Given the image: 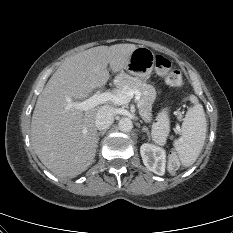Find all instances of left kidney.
Returning <instances> with one entry per match:
<instances>
[{
	"mask_svg": "<svg viewBox=\"0 0 233 233\" xmlns=\"http://www.w3.org/2000/svg\"><path fill=\"white\" fill-rule=\"evenodd\" d=\"M140 154L147 169L157 175H164L166 152L162 147L144 143L140 148Z\"/></svg>",
	"mask_w": 233,
	"mask_h": 233,
	"instance_id": "left-kidney-1",
	"label": "left kidney"
}]
</instances>
